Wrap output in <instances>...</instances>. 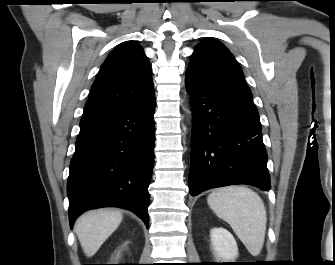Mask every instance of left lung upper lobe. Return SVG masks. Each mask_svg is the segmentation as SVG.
I'll return each mask as SVG.
<instances>
[{"label":"left lung upper lobe","mask_w":335,"mask_h":265,"mask_svg":"<svg viewBox=\"0 0 335 265\" xmlns=\"http://www.w3.org/2000/svg\"><path fill=\"white\" fill-rule=\"evenodd\" d=\"M189 71L207 82L252 99L243 72L231 52L221 43L206 39L192 54Z\"/></svg>","instance_id":"obj_1"}]
</instances>
